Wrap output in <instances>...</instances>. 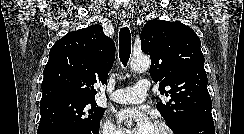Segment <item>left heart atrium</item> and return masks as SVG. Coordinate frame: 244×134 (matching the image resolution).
I'll list each match as a JSON object with an SVG mask.
<instances>
[{"label":"left heart atrium","mask_w":244,"mask_h":134,"mask_svg":"<svg viewBox=\"0 0 244 134\" xmlns=\"http://www.w3.org/2000/svg\"><path fill=\"white\" fill-rule=\"evenodd\" d=\"M117 120L129 134H151L154 127L148 115L135 108L119 111Z\"/></svg>","instance_id":"39dd6f15"}]
</instances>
